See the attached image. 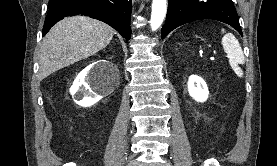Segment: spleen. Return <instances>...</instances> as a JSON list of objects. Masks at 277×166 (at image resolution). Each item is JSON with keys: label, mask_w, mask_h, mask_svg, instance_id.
<instances>
[{"label": "spleen", "mask_w": 277, "mask_h": 166, "mask_svg": "<svg viewBox=\"0 0 277 166\" xmlns=\"http://www.w3.org/2000/svg\"><path fill=\"white\" fill-rule=\"evenodd\" d=\"M222 33H226L224 29ZM222 46L229 58L230 66L235 69L239 64H244L245 57L238 40L232 33H226L222 38Z\"/></svg>", "instance_id": "spleen-1"}]
</instances>
